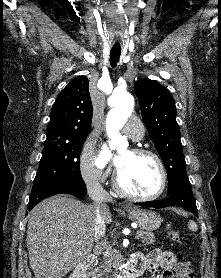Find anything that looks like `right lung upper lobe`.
I'll use <instances>...</instances> for the list:
<instances>
[{"label":"right lung upper lobe","instance_id":"cb5924a9","mask_svg":"<svg viewBox=\"0 0 221 278\" xmlns=\"http://www.w3.org/2000/svg\"><path fill=\"white\" fill-rule=\"evenodd\" d=\"M88 89V78L78 76L61 91L51 110L45 143L88 135L93 113Z\"/></svg>","mask_w":221,"mask_h":278}]
</instances>
